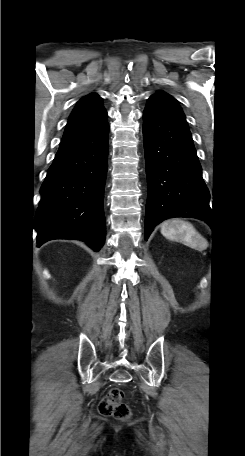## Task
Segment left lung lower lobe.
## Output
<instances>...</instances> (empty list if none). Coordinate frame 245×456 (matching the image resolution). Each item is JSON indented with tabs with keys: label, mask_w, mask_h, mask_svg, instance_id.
Here are the masks:
<instances>
[{
	"label": "left lung lower lobe",
	"mask_w": 245,
	"mask_h": 456,
	"mask_svg": "<svg viewBox=\"0 0 245 456\" xmlns=\"http://www.w3.org/2000/svg\"><path fill=\"white\" fill-rule=\"evenodd\" d=\"M143 119L148 182L147 240L153 228L168 218L193 217L207 221L210 194L179 104L151 96Z\"/></svg>",
	"instance_id": "1"
}]
</instances>
